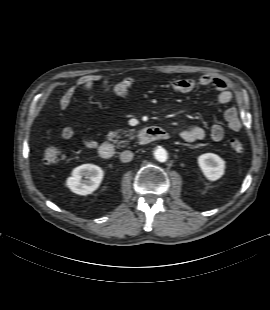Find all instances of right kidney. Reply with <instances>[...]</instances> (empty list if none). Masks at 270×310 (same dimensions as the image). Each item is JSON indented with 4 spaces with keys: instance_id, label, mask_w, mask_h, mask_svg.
I'll return each instance as SVG.
<instances>
[{
    "instance_id": "right-kidney-1",
    "label": "right kidney",
    "mask_w": 270,
    "mask_h": 310,
    "mask_svg": "<svg viewBox=\"0 0 270 310\" xmlns=\"http://www.w3.org/2000/svg\"><path fill=\"white\" fill-rule=\"evenodd\" d=\"M103 175L104 172L100 167L93 164H83L72 171L71 176L66 180V185L76 194L88 195L100 186ZM83 177L86 180H82Z\"/></svg>"
}]
</instances>
